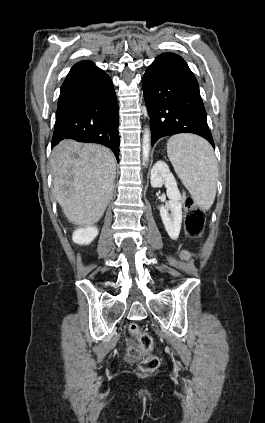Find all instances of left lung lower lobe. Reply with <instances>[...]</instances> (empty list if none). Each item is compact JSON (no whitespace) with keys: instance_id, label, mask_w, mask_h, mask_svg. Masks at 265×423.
I'll return each instance as SVG.
<instances>
[{"instance_id":"1","label":"left lung lower lobe","mask_w":265,"mask_h":423,"mask_svg":"<svg viewBox=\"0 0 265 423\" xmlns=\"http://www.w3.org/2000/svg\"><path fill=\"white\" fill-rule=\"evenodd\" d=\"M143 95L151 118L152 145L164 136L194 133L214 147L198 82L182 57L158 56L144 74Z\"/></svg>"}]
</instances>
